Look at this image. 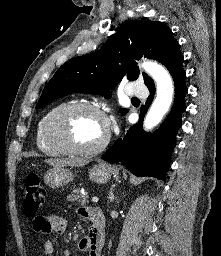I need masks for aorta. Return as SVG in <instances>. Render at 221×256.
I'll list each match as a JSON object with an SVG mask.
<instances>
[{
  "label": "aorta",
  "mask_w": 221,
  "mask_h": 256,
  "mask_svg": "<svg viewBox=\"0 0 221 256\" xmlns=\"http://www.w3.org/2000/svg\"><path fill=\"white\" fill-rule=\"evenodd\" d=\"M142 67L154 79L157 89L156 98L143 124L145 130H151L160 123L168 112L174 95V86L169 73L161 65L147 61L142 64Z\"/></svg>",
  "instance_id": "1"
}]
</instances>
